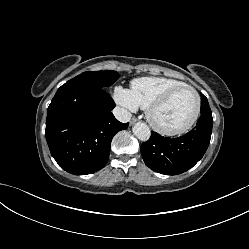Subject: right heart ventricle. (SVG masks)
Here are the masks:
<instances>
[{
    "label": "right heart ventricle",
    "instance_id": "1",
    "mask_svg": "<svg viewBox=\"0 0 249 249\" xmlns=\"http://www.w3.org/2000/svg\"><path fill=\"white\" fill-rule=\"evenodd\" d=\"M186 84L183 81L167 77H141L134 79L130 92L138 107H147L169 89Z\"/></svg>",
    "mask_w": 249,
    "mask_h": 249
}]
</instances>
